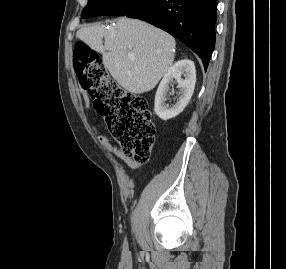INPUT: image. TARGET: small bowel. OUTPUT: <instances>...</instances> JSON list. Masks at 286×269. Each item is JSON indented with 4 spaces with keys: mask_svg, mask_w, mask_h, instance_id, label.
Returning <instances> with one entry per match:
<instances>
[{
    "mask_svg": "<svg viewBox=\"0 0 286 269\" xmlns=\"http://www.w3.org/2000/svg\"><path fill=\"white\" fill-rule=\"evenodd\" d=\"M103 144L107 147H111L110 143L108 142L107 139L103 138ZM118 156L127 164L128 167L132 168V169H138L141 167V164L139 162L134 161L133 159H131L130 157L117 152Z\"/></svg>",
    "mask_w": 286,
    "mask_h": 269,
    "instance_id": "obj_1",
    "label": "small bowel"
}]
</instances>
